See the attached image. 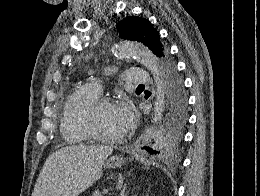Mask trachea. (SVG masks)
I'll list each match as a JSON object with an SVG mask.
<instances>
[{
	"instance_id": "1",
	"label": "trachea",
	"mask_w": 260,
	"mask_h": 196,
	"mask_svg": "<svg viewBox=\"0 0 260 196\" xmlns=\"http://www.w3.org/2000/svg\"><path fill=\"white\" fill-rule=\"evenodd\" d=\"M137 88H145V85H138Z\"/></svg>"
}]
</instances>
